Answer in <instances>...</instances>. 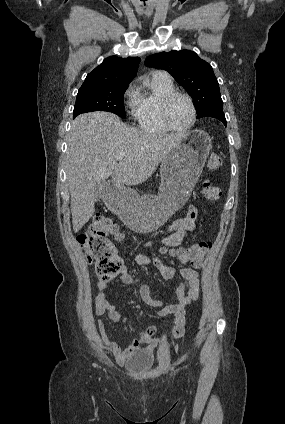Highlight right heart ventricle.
Segmentation results:
<instances>
[{
	"mask_svg": "<svg viewBox=\"0 0 285 424\" xmlns=\"http://www.w3.org/2000/svg\"><path fill=\"white\" fill-rule=\"evenodd\" d=\"M173 91L171 80H165L156 74L136 88V101L132 114L143 131L152 134L169 131L161 122L159 108L161 100Z\"/></svg>",
	"mask_w": 285,
	"mask_h": 424,
	"instance_id": "e07e8e85",
	"label": "right heart ventricle"
}]
</instances>
